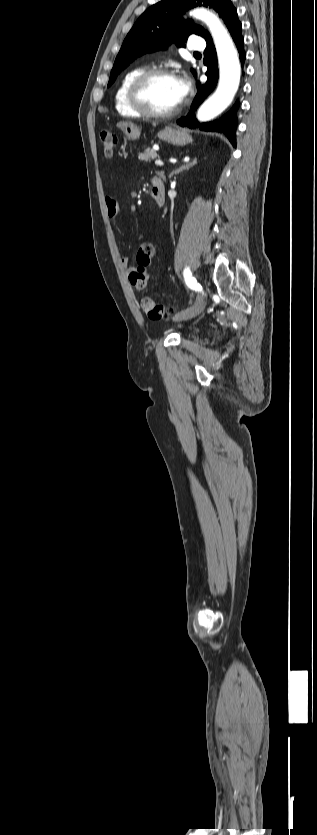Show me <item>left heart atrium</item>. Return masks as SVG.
<instances>
[{"label": "left heart atrium", "mask_w": 317, "mask_h": 835, "mask_svg": "<svg viewBox=\"0 0 317 835\" xmlns=\"http://www.w3.org/2000/svg\"><path fill=\"white\" fill-rule=\"evenodd\" d=\"M175 85L178 101L181 102L183 98L187 95L190 88V84L185 77H177L175 78Z\"/></svg>", "instance_id": "obj_1"}]
</instances>
